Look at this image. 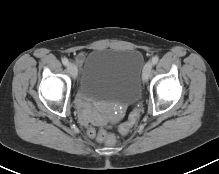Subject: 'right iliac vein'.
Masks as SVG:
<instances>
[{
	"instance_id": "63e3f726",
	"label": "right iliac vein",
	"mask_w": 219,
	"mask_h": 174,
	"mask_svg": "<svg viewBox=\"0 0 219 174\" xmlns=\"http://www.w3.org/2000/svg\"><path fill=\"white\" fill-rule=\"evenodd\" d=\"M67 69H68V72L70 73V75L72 77H76L77 76V71L78 70H77V67H76V65L74 63L68 64Z\"/></svg>"
}]
</instances>
